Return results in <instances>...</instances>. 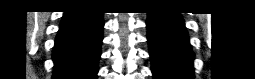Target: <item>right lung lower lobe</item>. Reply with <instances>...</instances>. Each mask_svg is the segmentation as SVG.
<instances>
[{
  "mask_svg": "<svg viewBox=\"0 0 255 79\" xmlns=\"http://www.w3.org/2000/svg\"><path fill=\"white\" fill-rule=\"evenodd\" d=\"M103 26L101 12L64 13L53 50V79H96Z\"/></svg>",
  "mask_w": 255,
  "mask_h": 79,
  "instance_id": "98d812e1",
  "label": "right lung lower lobe"
}]
</instances>
